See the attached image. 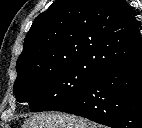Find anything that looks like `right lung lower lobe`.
Listing matches in <instances>:
<instances>
[{
  "mask_svg": "<svg viewBox=\"0 0 142 128\" xmlns=\"http://www.w3.org/2000/svg\"><path fill=\"white\" fill-rule=\"evenodd\" d=\"M55 111L111 128H142V55L96 75L86 90Z\"/></svg>",
  "mask_w": 142,
  "mask_h": 128,
  "instance_id": "98d812e1",
  "label": "right lung lower lobe"
}]
</instances>
